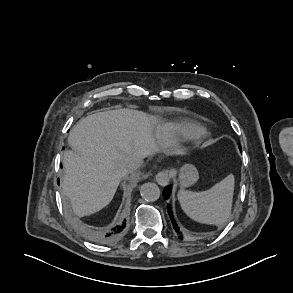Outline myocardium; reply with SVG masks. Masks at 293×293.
I'll return each mask as SVG.
<instances>
[{"label":"myocardium","instance_id":"f54148a6","mask_svg":"<svg viewBox=\"0 0 293 293\" xmlns=\"http://www.w3.org/2000/svg\"><path fill=\"white\" fill-rule=\"evenodd\" d=\"M205 135V130L203 128H198V130L194 133L193 137L200 138Z\"/></svg>","mask_w":293,"mask_h":293}]
</instances>
